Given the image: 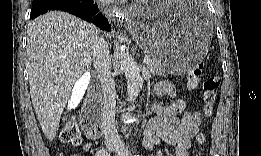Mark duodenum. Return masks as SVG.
<instances>
[{
	"mask_svg": "<svg viewBox=\"0 0 261 156\" xmlns=\"http://www.w3.org/2000/svg\"><path fill=\"white\" fill-rule=\"evenodd\" d=\"M81 118L82 121L88 125H91L94 122H99L102 124V110L99 91L97 88L91 91L89 97L87 98L82 110Z\"/></svg>",
	"mask_w": 261,
	"mask_h": 156,
	"instance_id": "410a0bca",
	"label": "duodenum"
}]
</instances>
